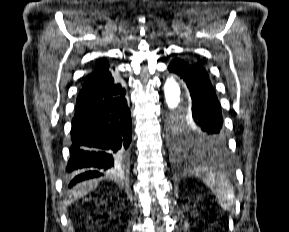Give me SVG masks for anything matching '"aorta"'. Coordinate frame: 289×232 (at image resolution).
<instances>
[{
	"instance_id": "obj_1",
	"label": "aorta",
	"mask_w": 289,
	"mask_h": 232,
	"mask_svg": "<svg viewBox=\"0 0 289 232\" xmlns=\"http://www.w3.org/2000/svg\"><path fill=\"white\" fill-rule=\"evenodd\" d=\"M164 96L168 108L173 112V119L181 118L189 113L191 104L187 94H183L179 83L173 78H167L164 84Z\"/></svg>"
}]
</instances>
